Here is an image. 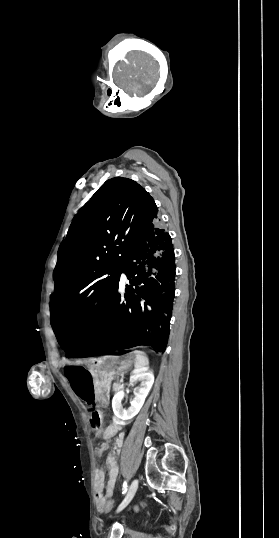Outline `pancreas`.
Segmentation results:
<instances>
[{
  "mask_svg": "<svg viewBox=\"0 0 279 538\" xmlns=\"http://www.w3.org/2000/svg\"><path fill=\"white\" fill-rule=\"evenodd\" d=\"M113 384H114V387H115L116 389H119V388L121 387V384L119 383V380H114V381H113Z\"/></svg>",
  "mask_w": 279,
  "mask_h": 538,
  "instance_id": "1",
  "label": "pancreas"
}]
</instances>
